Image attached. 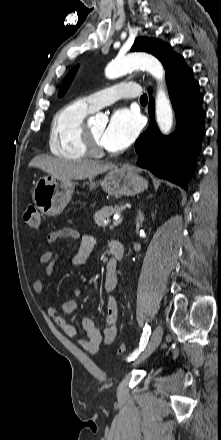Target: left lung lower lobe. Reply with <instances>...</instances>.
<instances>
[{
	"label": "left lung lower lobe",
	"instance_id": "1",
	"mask_svg": "<svg viewBox=\"0 0 221 440\" xmlns=\"http://www.w3.org/2000/svg\"><path fill=\"white\" fill-rule=\"evenodd\" d=\"M163 66L176 114V131L170 136L160 133L154 121V101L150 100L151 122L135 142L137 164L186 189L205 133L203 97L199 93L198 82L193 78V71L184 64L182 56L169 53Z\"/></svg>",
	"mask_w": 221,
	"mask_h": 440
}]
</instances>
